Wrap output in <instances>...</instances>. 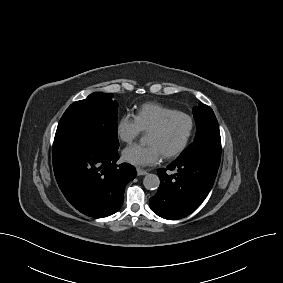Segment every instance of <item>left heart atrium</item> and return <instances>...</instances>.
Instances as JSON below:
<instances>
[{
    "mask_svg": "<svg viewBox=\"0 0 283 283\" xmlns=\"http://www.w3.org/2000/svg\"><path fill=\"white\" fill-rule=\"evenodd\" d=\"M162 153L156 145L136 144L123 151L125 161L137 166H149L156 164Z\"/></svg>",
    "mask_w": 283,
    "mask_h": 283,
    "instance_id": "39dd6f15",
    "label": "left heart atrium"
}]
</instances>
